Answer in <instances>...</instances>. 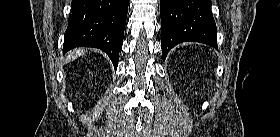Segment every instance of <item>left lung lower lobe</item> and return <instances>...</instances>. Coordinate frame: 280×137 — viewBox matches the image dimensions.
<instances>
[{
  "instance_id": "obj_1",
  "label": "left lung lower lobe",
  "mask_w": 280,
  "mask_h": 137,
  "mask_svg": "<svg viewBox=\"0 0 280 137\" xmlns=\"http://www.w3.org/2000/svg\"><path fill=\"white\" fill-rule=\"evenodd\" d=\"M163 60L182 42L217 47L211 0H160Z\"/></svg>"
}]
</instances>
